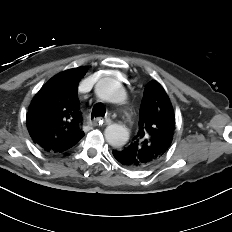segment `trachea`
<instances>
[{"label": "trachea", "instance_id": "3493384b", "mask_svg": "<svg viewBox=\"0 0 232 232\" xmlns=\"http://www.w3.org/2000/svg\"><path fill=\"white\" fill-rule=\"evenodd\" d=\"M106 109L103 104L97 103L94 105L91 113V118L93 119L94 117H102L105 115Z\"/></svg>", "mask_w": 232, "mask_h": 232}]
</instances>
